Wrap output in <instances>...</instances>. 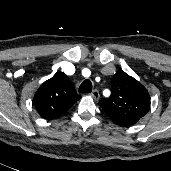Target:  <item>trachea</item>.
Listing matches in <instances>:
<instances>
[{"label":"trachea","instance_id":"3493384b","mask_svg":"<svg viewBox=\"0 0 171 171\" xmlns=\"http://www.w3.org/2000/svg\"><path fill=\"white\" fill-rule=\"evenodd\" d=\"M92 83L89 79H86L82 82V84L79 86V93H89L92 91Z\"/></svg>","mask_w":171,"mask_h":171}]
</instances>
